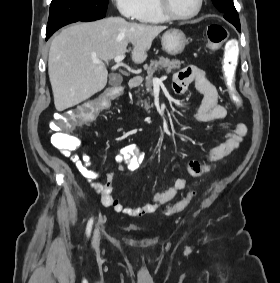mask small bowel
Instances as JSON below:
<instances>
[{
  "label": "small bowel",
  "mask_w": 280,
  "mask_h": 283,
  "mask_svg": "<svg viewBox=\"0 0 280 283\" xmlns=\"http://www.w3.org/2000/svg\"><path fill=\"white\" fill-rule=\"evenodd\" d=\"M191 84H194L203 95V100L195 115L196 121L202 124H209L224 119L227 110L218 102L217 88L198 68L190 66L180 70L174 77L173 89L176 93H183ZM223 128L227 129V127ZM247 132L248 129L244 123H236L232 130L226 132L224 141L219 146L208 151V163H202L195 159H190L186 162L188 174L193 177H204L209 174L213 169V162H221L234 152L247 135ZM68 157L74 163L79 173L88 180L91 187L100 195L101 202L105 207L130 217H142L154 213L160 206L171 201L178 191L184 189L188 183L187 178H178L168 189L156 193L153 196L152 202L142 206L124 205L112 196V173H107L106 182L100 183L97 179L101 177V174L91 168V158L87 153L84 152L79 155L72 152L68 153ZM115 160L121 164V169L135 172L145 160V154L139 150L136 144L129 143L119 149L115 155Z\"/></svg>",
  "instance_id": "1"
}]
</instances>
